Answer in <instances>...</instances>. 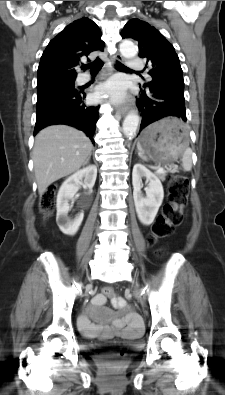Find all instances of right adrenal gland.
<instances>
[{
    "mask_svg": "<svg viewBox=\"0 0 225 395\" xmlns=\"http://www.w3.org/2000/svg\"><path fill=\"white\" fill-rule=\"evenodd\" d=\"M90 158H91V154H90L89 157L87 158L86 164L89 162Z\"/></svg>",
    "mask_w": 225,
    "mask_h": 395,
    "instance_id": "right-adrenal-gland-1",
    "label": "right adrenal gland"
}]
</instances>
